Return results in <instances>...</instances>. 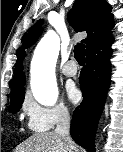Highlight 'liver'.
<instances>
[{"label": "liver", "instance_id": "6515ba94", "mask_svg": "<svg viewBox=\"0 0 123 152\" xmlns=\"http://www.w3.org/2000/svg\"><path fill=\"white\" fill-rule=\"evenodd\" d=\"M69 150H75L74 142L68 144ZM67 144L54 131L39 133L23 141L14 152H66Z\"/></svg>", "mask_w": 123, "mask_h": 152}]
</instances>
